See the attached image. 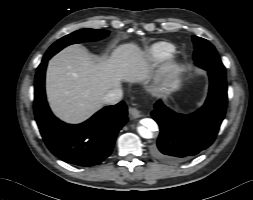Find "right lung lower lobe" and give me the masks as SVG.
Segmentation results:
<instances>
[{
	"mask_svg": "<svg viewBox=\"0 0 253 200\" xmlns=\"http://www.w3.org/2000/svg\"><path fill=\"white\" fill-rule=\"evenodd\" d=\"M54 54L44 55L35 76L34 113L48 149L58 158L79 166H94L107 158L116 135L128 121L127 106L120 102L107 106L89 120L66 125L49 109L45 95V71Z\"/></svg>",
	"mask_w": 253,
	"mask_h": 200,
	"instance_id": "98d812e1",
	"label": "right lung lower lobe"
}]
</instances>
